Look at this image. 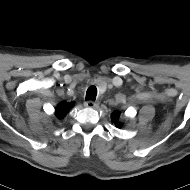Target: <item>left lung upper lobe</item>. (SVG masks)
Listing matches in <instances>:
<instances>
[{
  "mask_svg": "<svg viewBox=\"0 0 190 190\" xmlns=\"http://www.w3.org/2000/svg\"><path fill=\"white\" fill-rule=\"evenodd\" d=\"M119 116H120V113L119 112H114L112 115H111V119L112 121L115 123V125L117 127H121V124L119 123Z\"/></svg>",
  "mask_w": 190,
  "mask_h": 190,
  "instance_id": "left-lung-upper-lobe-1",
  "label": "left lung upper lobe"
}]
</instances>
